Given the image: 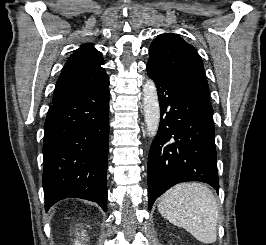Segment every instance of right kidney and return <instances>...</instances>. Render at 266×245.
I'll return each mask as SVG.
<instances>
[{"instance_id":"right-kidney-1","label":"right kidney","mask_w":266,"mask_h":245,"mask_svg":"<svg viewBox=\"0 0 266 245\" xmlns=\"http://www.w3.org/2000/svg\"><path fill=\"white\" fill-rule=\"evenodd\" d=\"M83 237H86V235H83V233H82V239H83ZM75 245H80V241H75Z\"/></svg>"}]
</instances>
